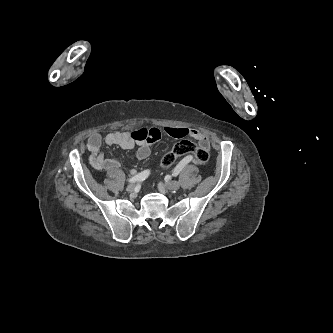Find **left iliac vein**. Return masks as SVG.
Masks as SVG:
<instances>
[{"instance_id": "left-iliac-vein-1", "label": "left iliac vein", "mask_w": 333, "mask_h": 333, "mask_svg": "<svg viewBox=\"0 0 333 333\" xmlns=\"http://www.w3.org/2000/svg\"><path fill=\"white\" fill-rule=\"evenodd\" d=\"M160 188L162 189L167 188L169 190H178L180 188V183L178 181H171L166 186L161 184Z\"/></svg>"}]
</instances>
